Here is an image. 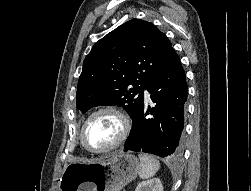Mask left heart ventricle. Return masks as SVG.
I'll use <instances>...</instances> for the list:
<instances>
[{
	"instance_id": "left-heart-ventricle-1",
	"label": "left heart ventricle",
	"mask_w": 251,
	"mask_h": 191,
	"mask_svg": "<svg viewBox=\"0 0 251 191\" xmlns=\"http://www.w3.org/2000/svg\"><path fill=\"white\" fill-rule=\"evenodd\" d=\"M120 130V122L115 115L109 112L97 114L84 128L83 143L91 151L105 150L118 139Z\"/></svg>"
}]
</instances>
